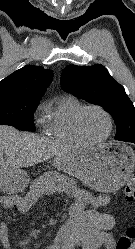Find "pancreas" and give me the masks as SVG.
<instances>
[{
	"instance_id": "cf45deb5",
	"label": "pancreas",
	"mask_w": 135,
	"mask_h": 249,
	"mask_svg": "<svg viewBox=\"0 0 135 249\" xmlns=\"http://www.w3.org/2000/svg\"><path fill=\"white\" fill-rule=\"evenodd\" d=\"M66 191L69 193V194H73L77 197H79L81 194H82V191L77 189V188H74V187H67L66 188Z\"/></svg>"
}]
</instances>
